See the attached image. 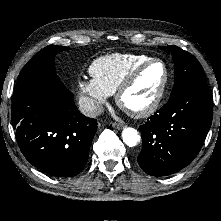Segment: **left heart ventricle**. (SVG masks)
Here are the masks:
<instances>
[{"label":"left heart ventricle","mask_w":221,"mask_h":221,"mask_svg":"<svg viewBox=\"0 0 221 221\" xmlns=\"http://www.w3.org/2000/svg\"><path fill=\"white\" fill-rule=\"evenodd\" d=\"M164 78V68L160 63L147 67L135 84L125 93L123 104L131 110L147 106L158 92Z\"/></svg>","instance_id":"1"}]
</instances>
